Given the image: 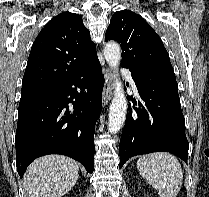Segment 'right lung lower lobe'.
I'll return each mask as SVG.
<instances>
[{
	"label": "right lung lower lobe",
	"mask_w": 209,
	"mask_h": 197,
	"mask_svg": "<svg viewBox=\"0 0 209 197\" xmlns=\"http://www.w3.org/2000/svg\"><path fill=\"white\" fill-rule=\"evenodd\" d=\"M103 83L97 58L57 84L21 94L15 140L20 176L34 159L47 154L69 156L93 172Z\"/></svg>",
	"instance_id": "right-lung-lower-lobe-1"
}]
</instances>
